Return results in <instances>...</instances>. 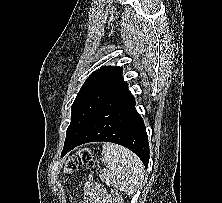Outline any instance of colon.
<instances>
[{
  "label": "colon",
  "instance_id": "5ec220e1",
  "mask_svg": "<svg viewBox=\"0 0 222 203\" xmlns=\"http://www.w3.org/2000/svg\"><path fill=\"white\" fill-rule=\"evenodd\" d=\"M87 166L92 168L94 166V155L90 149H81L76 152L67 162L64 171L67 174H72L78 166ZM112 203H122V198L117 191L113 192Z\"/></svg>",
  "mask_w": 222,
  "mask_h": 203
}]
</instances>
